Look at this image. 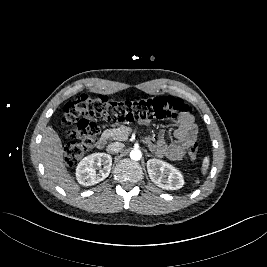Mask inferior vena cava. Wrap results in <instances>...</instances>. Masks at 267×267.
Returning <instances> with one entry per match:
<instances>
[{
    "label": "inferior vena cava",
    "instance_id": "1",
    "mask_svg": "<svg viewBox=\"0 0 267 267\" xmlns=\"http://www.w3.org/2000/svg\"><path fill=\"white\" fill-rule=\"evenodd\" d=\"M124 147V144L119 142L111 143L107 146L106 151L110 154L117 153Z\"/></svg>",
    "mask_w": 267,
    "mask_h": 267
}]
</instances>
